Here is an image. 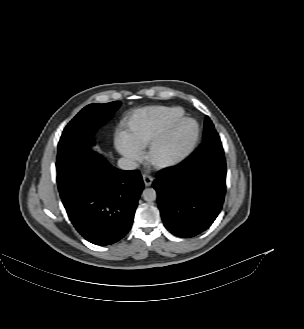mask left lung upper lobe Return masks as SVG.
<instances>
[{
  "instance_id": "5c2ea615",
  "label": "left lung upper lobe",
  "mask_w": 304,
  "mask_h": 329,
  "mask_svg": "<svg viewBox=\"0 0 304 329\" xmlns=\"http://www.w3.org/2000/svg\"><path fill=\"white\" fill-rule=\"evenodd\" d=\"M213 131H216L214 129V125L209 119L208 116H206L205 123H204V135L203 138H206L209 134H211Z\"/></svg>"
}]
</instances>
